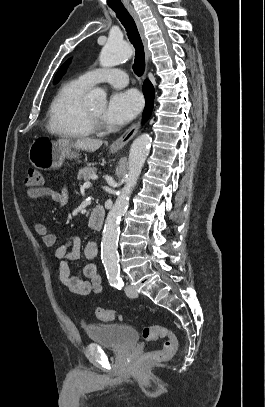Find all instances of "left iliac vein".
<instances>
[{"instance_id":"left-iliac-vein-1","label":"left iliac vein","mask_w":265,"mask_h":407,"mask_svg":"<svg viewBox=\"0 0 265 407\" xmlns=\"http://www.w3.org/2000/svg\"><path fill=\"white\" fill-rule=\"evenodd\" d=\"M125 293H126V295H127L128 297H130V298H135V297L138 296L136 290H135L134 287L131 286V285H127V286L125 287Z\"/></svg>"}]
</instances>
